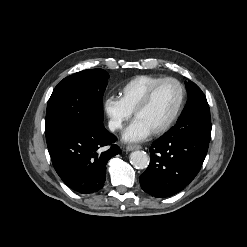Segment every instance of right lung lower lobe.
<instances>
[{"label": "right lung lower lobe", "mask_w": 247, "mask_h": 247, "mask_svg": "<svg viewBox=\"0 0 247 247\" xmlns=\"http://www.w3.org/2000/svg\"><path fill=\"white\" fill-rule=\"evenodd\" d=\"M117 138L102 125L60 133L47 139L54 169L67 186L87 194L100 190L108 160L121 153ZM105 150L99 153V149Z\"/></svg>", "instance_id": "right-lung-lower-lobe-1"}]
</instances>
